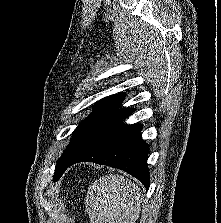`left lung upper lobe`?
<instances>
[{"label":"left lung upper lobe","instance_id":"5c2ea615","mask_svg":"<svg viewBox=\"0 0 221 223\" xmlns=\"http://www.w3.org/2000/svg\"><path fill=\"white\" fill-rule=\"evenodd\" d=\"M124 94H115L98 101L95 111L74 130L72 140L59 159L53 181H57L71 161L89 147L107 128L132 109H119Z\"/></svg>","mask_w":221,"mask_h":223}]
</instances>
